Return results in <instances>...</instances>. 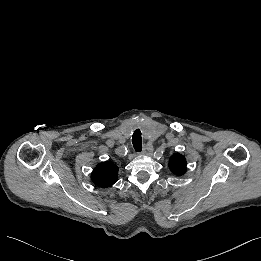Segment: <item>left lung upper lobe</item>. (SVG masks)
I'll return each instance as SVG.
<instances>
[{
	"label": "left lung upper lobe",
	"mask_w": 261,
	"mask_h": 261,
	"mask_svg": "<svg viewBox=\"0 0 261 261\" xmlns=\"http://www.w3.org/2000/svg\"><path fill=\"white\" fill-rule=\"evenodd\" d=\"M169 168L177 176H181L186 172V159L181 154H174L170 157Z\"/></svg>",
	"instance_id": "1"
}]
</instances>
